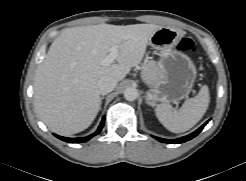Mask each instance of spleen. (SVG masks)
<instances>
[{
  "label": "spleen",
  "instance_id": "3e777b00",
  "mask_svg": "<svg viewBox=\"0 0 246 181\" xmlns=\"http://www.w3.org/2000/svg\"><path fill=\"white\" fill-rule=\"evenodd\" d=\"M210 101L209 89L202 86L198 95L187 99L179 110L168 103L159 104L155 111L161 124L173 133H182L195 126L205 114Z\"/></svg>",
  "mask_w": 246,
  "mask_h": 181
}]
</instances>
